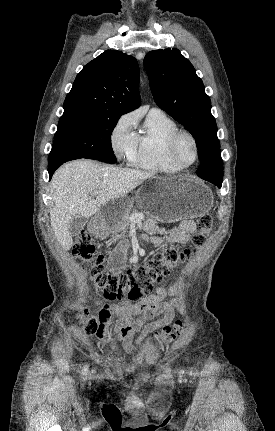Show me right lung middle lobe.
<instances>
[{
  "label": "right lung middle lobe",
  "mask_w": 275,
  "mask_h": 431,
  "mask_svg": "<svg viewBox=\"0 0 275 431\" xmlns=\"http://www.w3.org/2000/svg\"><path fill=\"white\" fill-rule=\"evenodd\" d=\"M120 116L106 113L62 115L48 162L89 158L116 163L111 134Z\"/></svg>",
  "instance_id": "right-lung-middle-lobe-1"
}]
</instances>
